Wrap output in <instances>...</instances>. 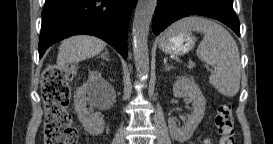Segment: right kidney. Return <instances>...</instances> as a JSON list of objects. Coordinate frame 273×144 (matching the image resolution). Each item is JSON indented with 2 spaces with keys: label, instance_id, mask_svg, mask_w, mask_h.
Listing matches in <instances>:
<instances>
[{
  "label": "right kidney",
  "instance_id": "1",
  "mask_svg": "<svg viewBox=\"0 0 273 144\" xmlns=\"http://www.w3.org/2000/svg\"><path fill=\"white\" fill-rule=\"evenodd\" d=\"M100 86L102 88L111 90V86L105 81L101 74L97 71H92L89 74L88 81L79 88L74 95V108L78 114V118L83 125L85 131L93 136L101 134L105 127L103 118L95 115L92 110L87 109V101L94 98V86ZM89 95V98L86 97Z\"/></svg>",
  "mask_w": 273,
  "mask_h": 144
}]
</instances>
